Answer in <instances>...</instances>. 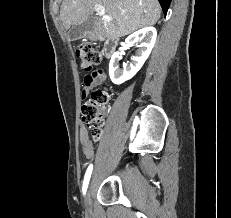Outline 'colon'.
I'll return each instance as SVG.
<instances>
[{"mask_svg": "<svg viewBox=\"0 0 231 218\" xmlns=\"http://www.w3.org/2000/svg\"><path fill=\"white\" fill-rule=\"evenodd\" d=\"M75 54L80 62L81 69L84 71L93 69L103 61L102 51L89 44L78 45ZM108 103V92L103 89H95L82 107V119L90 129L94 140H98L102 136L103 118Z\"/></svg>", "mask_w": 231, "mask_h": 218, "instance_id": "1", "label": "colon"}]
</instances>
